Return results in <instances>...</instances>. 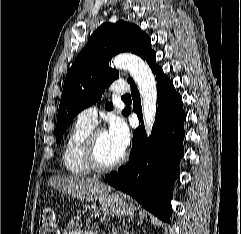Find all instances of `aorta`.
I'll use <instances>...</instances> for the list:
<instances>
[{"mask_svg": "<svg viewBox=\"0 0 241 234\" xmlns=\"http://www.w3.org/2000/svg\"><path fill=\"white\" fill-rule=\"evenodd\" d=\"M111 66L127 69L136 82L141 95L145 129L150 136L157 105V85L150 67L140 57L132 54L117 55L113 58Z\"/></svg>", "mask_w": 241, "mask_h": 234, "instance_id": "aorta-1", "label": "aorta"}]
</instances>
